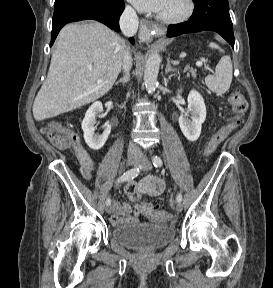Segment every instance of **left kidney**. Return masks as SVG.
I'll use <instances>...</instances> for the list:
<instances>
[{
    "label": "left kidney",
    "instance_id": "5707ae66",
    "mask_svg": "<svg viewBox=\"0 0 273 288\" xmlns=\"http://www.w3.org/2000/svg\"><path fill=\"white\" fill-rule=\"evenodd\" d=\"M178 92H181L178 91ZM188 108L185 115L179 117V126L184 136L195 142L201 134V127L206 119V106L203 97L196 90H191L188 95ZM191 115V120L188 115Z\"/></svg>",
    "mask_w": 273,
    "mask_h": 288
}]
</instances>
